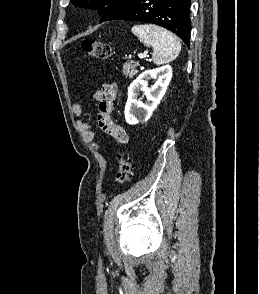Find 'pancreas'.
<instances>
[{
    "mask_svg": "<svg viewBox=\"0 0 259 294\" xmlns=\"http://www.w3.org/2000/svg\"><path fill=\"white\" fill-rule=\"evenodd\" d=\"M139 63L128 61L123 65V75L125 77L133 78L138 73Z\"/></svg>",
    "mask_w": 259,
    "mask_h": 294,
    "instance_id": "pancreas-1",
    "label": "pancreas"
}]
</instances>
